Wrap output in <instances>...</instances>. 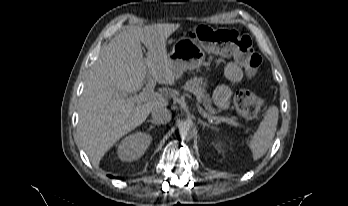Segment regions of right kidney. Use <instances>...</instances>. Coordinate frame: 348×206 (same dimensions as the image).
Returning <instances> with one entry per match:
<instances>
[{
	"label": "right kidney",
	"instance_id": "right-kidney-1",
	"mask_svg": "<svg viewBox=\"0 0 348 206\" xmlns=\"http://www.w3.org/2000/svg\"><path fill=\"white\" fill-rule=\"evenodd\" d=\"M151 140V136L143 132L128 135L118 146L119 158L126 162L139 159L150 145Z\"/></svg>",
	"mask_w": 348,
	"mask_h": 206
}]
</instances>
